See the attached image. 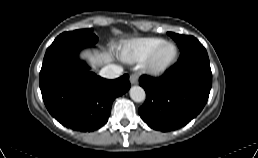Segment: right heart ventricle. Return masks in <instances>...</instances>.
Instances as JSON below:
<instances>
[{
  "label": "right heart ventricle",
  "mask_w": 258,
  "mask_h": 158,
  "mask_svg": "<svg viewBox=\"0 0 258 158\" xmlns=\"http://www.w3.org/2000/svg\"><path fill=\"white\" fill-rule=\"evenodd\" d=\"M160 38H141L125 44L122 57L129 63H141L161 43Z\"/></svg>",
  "instance_id": "right-heart-ventricle-1"
}]
</instances>
